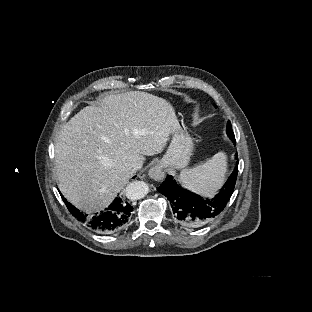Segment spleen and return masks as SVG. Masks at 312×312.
<instances>
[{"label": "spleen", "instance_id": "spleen-1", "mask_svg": "<svg viewBox=\"0 0 312 312\" xmlns=\"http://www.w3.org/2000/svg\"><path fill=\"white\" fill-rule=\"evenodd\" d=\"M226 169L225 154L217 153L211 159L183 170L180 181L186 188L211 196L223 184Z\"/></svg>", "mask_w": 312, "mask_h": 312}]
</instances>
